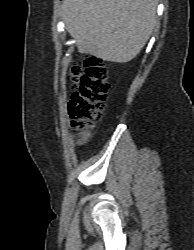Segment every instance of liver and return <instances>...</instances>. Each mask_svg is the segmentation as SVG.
Masks as SVG:
<instances>
[{
	"label": "liver",
	"instance_id": "1",
	"mask_svg": "<svg viewBox=\"0 0 194 250\" xmlns=\"http://www.w3.org/2000/svg\"><path fill=\"white\" fill-rule=\"evenodd\" d=\"M158 0H64L63 20L80 53L126 63L156 24Z\"/></svg>",
	"mask_w": 194,
	"mask_h": 250
}]
</instances>
